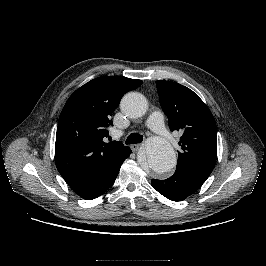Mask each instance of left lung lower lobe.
<instances>
[{
  "label": "left lung lower lobe",
  "instance_id": "0a47b994",
  "mask_svg": "<svg viewBox=\"0 0 266 266\" xmlns=\"http://www.w3.org/2000/svg\"><path fill=\"white\" fill-rule=\"evenodd\" d=\"M204 182L195 180L181 172H175L165 180L152 179V186L163 196L173 201H181L198 190Z\"/></svg>",
  "mask_w": 266,
  "mask_h": 266
}]
</instances>
